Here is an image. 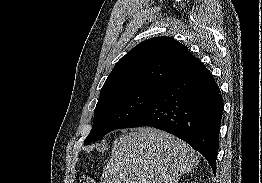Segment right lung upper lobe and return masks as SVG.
I'll return each mask as SVG.
<instances>
[{
	"label": "right lung upper lobe",
	"mask_w": 262,
	"mask_h": 183,
	"mask_svg": "<svg viewBox=\"0 0 262 183\" xmlns=\"http://www.w3.org/2000/svg\"><path fill=\"white\" fill-rule=\"evenodd\" d=\"M203 64L188 49L170 37L139 43L114 66L100 96L122 90H158Z\"/></svg>",
	"instance_id": "cb5924a9"
}]
</instances>
